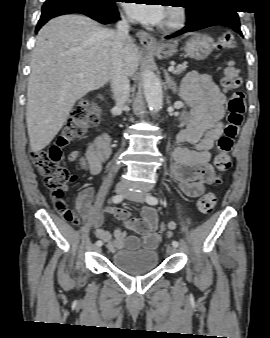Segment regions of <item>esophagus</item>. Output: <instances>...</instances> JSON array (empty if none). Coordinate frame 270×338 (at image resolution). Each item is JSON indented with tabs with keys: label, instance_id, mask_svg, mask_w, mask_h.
<instances>
[{
	"label": "esophagus",
	"instance_id": "34e87169",
	"mask_svg": "<svg viewBox=\"0 0 270 338\" xmlns=\"http://www.w3.org/2000/svg\"><path fill=\"white\" fill-rule=\"evenodd\" d=\"M136 35L139 38L140 43L144 47H156V46H158L157 40L152 35H150L149 33L145 32V31H138Z\"/></svg>",
	"mask_w": 270,
	"mask_h": 338
}]
</instances>
